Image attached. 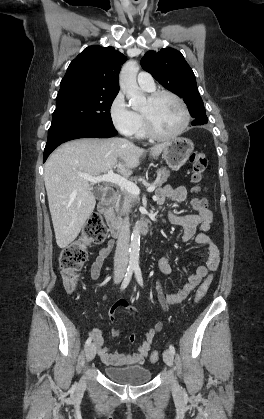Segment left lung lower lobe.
Returning <instances> with one entry per match:
<instances>
[{"label":"left lung lower lobe","mask_w":264,"mask_h":419,"mask_svg":"<svg viewBox=\"0 0 264 419\" xmlns=\"http://www.w3.org/2000/svg\"><path fill=\"white\" fill-rule=\"evenodd\" d=\"M207 121H208V119H205L202 115H196L191 124L194 125V126L203 125V124H206Z\"/></svg>","instance_id":"0a47b994"}]
</instances>
